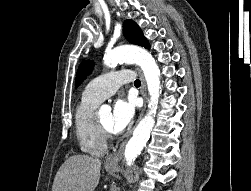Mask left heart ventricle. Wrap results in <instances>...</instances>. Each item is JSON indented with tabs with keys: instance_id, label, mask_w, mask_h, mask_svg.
Returning <instances> with one entry per match:
<instances>
[{
	"instance_id": "obj_1",
	"label": "left heart ventricle",
	"mask_w": 251,
	"mask_h": 191,
	"mask_svg": "<svg viewBox=\"0 0 251 191\" xmlns=\"http://www.w3.org/2000/svg\"><path fill=\"white\" fill-rule=\"evenodd\" d=\"M99 121L103 124L104 127L110 130V115L109 113H105L101 116Z\"/></svg>"
}]
</instances>
